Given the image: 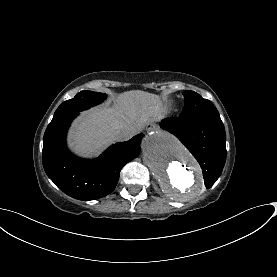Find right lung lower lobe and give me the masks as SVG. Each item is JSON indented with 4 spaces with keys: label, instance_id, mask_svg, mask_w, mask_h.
<instances>
[{
    "label": "right lung lower lobe",
    "instance_id": "right-lung-lower-lobe-1",
    "mask_svg": "<svg viewBox=\"0 0 277 277\" xmlns=\"http://www.w3.org/2000/svg\"><path fill=\"white\" fill-rule=\"evenodd\" d=\"M78 113L48 125L43 138L42 162L48 177L64 193L78 200H94L115 189L122 166L139 155L143 135L116 143L98 158L80 159L68 151L65 141L68 127Z\"/></svg>",
    "mask_w": 277,
    "mask_h": 277
}]
</instances>
